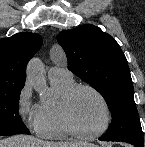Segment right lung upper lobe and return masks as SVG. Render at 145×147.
Returning a JSON list of instances; mask_svg holds the SVG:
<instances>
[{
	"mask_svg": "<svg viewBox=\"0 0 145 147\" xmlns=\"http://www.w3.org/2000/svg\"><path fill=\"white\" fill-rule=\"evenodd\" d=\"M41 46L42 37L36 33L0 39V92L24 86L26 65Z\"/></svg>",
	"mask_w": 145,
	"mask_h": 147,
	"instance_id": "obj_1",
	"label": "right lung upper lobe"
}]
</instances>
